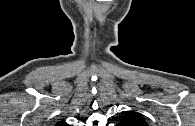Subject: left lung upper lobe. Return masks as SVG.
<instances>
[{
    "mask_svg": "<svg viewBox=\"0 0 195 126\" xmlns=\"http://www.w3.org/2000/svg\"><path fill=\"white\" fill-rule=\"evenodd\" d=\"M120 124L123 126H148L143 116L135 111H127Z\"/></svg>",
    "mask_w": 195,
    "mask_h": 126,
    "instance_id": "1",
    "label": "left lung upper lobe"
}]
</instances>
